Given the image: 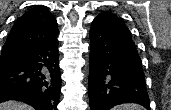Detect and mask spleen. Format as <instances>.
<instances>
[{
    "label": "spleen",
    "instance_id": "spleen-1",
    "mask_svg": "<svg viewBox=\"0 0 171 110\" xmlns=\"http://www.w3.org/2000/svg\"><path fill=\"white\" fill-rule=\"evenodd\" d=\"M113 110H142L138 104H122L113 108Z\"/></svg>",
    "mask_w": 171,
    "mask_h": 110
}]
</instances>
